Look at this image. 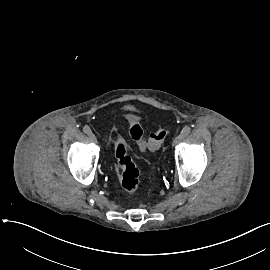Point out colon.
<instances>
[{
  "label": "colon",
  "instance_id": "1",
  "mask_svg": "<svg viewBox=\"0 0 270 270\" xmlns=\"http://www.w3.org/2000/svg\"><path fill=\"white\" fill-rule=\"evenodd\" d=\"M129 136L138 144L139 150L149 151L162 146L167 137V131L159 128L145 134L138 119L132 118L129 120ZM115 156L117 172L124 192L130 196L137 194L140 190L139 172L128 152L127 142L123 136H118L116 139Z\"/></svg>",
  "mask_w": 270,
  "mask_h": 270
}]
</instances>
